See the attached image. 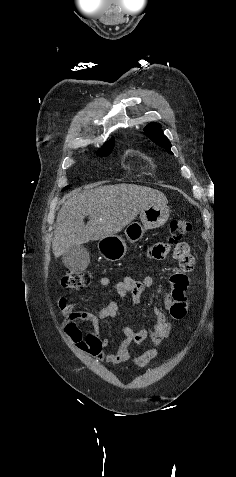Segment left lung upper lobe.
Wrapping results in <instances>:
<instances>
[{"label": "left lung upper lobe", "instance_id": "obj_1", "mask_svg": "<svg viewBox=\"0 0 236 477\" xmlns=\"http://www.w3.org/2000/svg\"><path fill=\"white\" fill-rule=\"evenodd\" d=\"M146 135L157 145L163 147L168 153L172 154L170 148L171 143L168 138L163 134L161 125L157 123H151L145 128Z\"/></svg>", "mask_w": 236, "mask_h": 477}]
</instances>
